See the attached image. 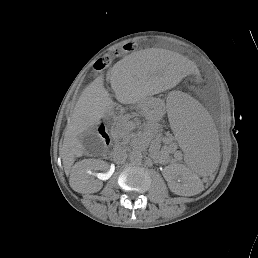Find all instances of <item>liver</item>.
Masks as SVG:
<instances>
[{
  "mask_svg": "<svg viewBox=\"0 0 258 258\" xmlns=\"http://www.w3.org/2000/svg\"><path fill=\"white\" fill-rule=\"evenodd\" d=\"M160 73L156 65L140 59L139 52L117 62L111 72V87L116 99L120 103H128L131 90L139 77L159 76ZM111 105L112 99L104 87L103 78L97 77L82 92L67 124L62 147V161L65 172L70 174V186L79 193H86L90 190L84 182L87 175L78 173L82 165L79 164L75 170L72 167L74 157L82 156L85 150L79 136L84 132L93 131Z\"/></svg>",
  "mask_w": 258,
  "mask_h": 258,
  "instance_id": "obj_1",
  "label": "liver"
}]
</instances>
